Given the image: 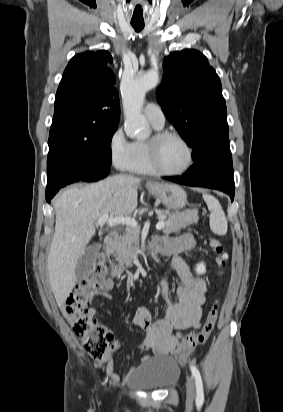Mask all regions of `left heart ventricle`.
Returning <instances> with one entry per match:
<instances>
[{
	"mask_svg": "<svg viewBox=\"0 0 283 412\" xmlns=\"http://www.w3.org/2000/svg\"><path fill=\"white\" fill-rule=\"evenodd\" d=\"M188 150L185 145L176 138L165 139L159 150V164L166 171H179L188 162Z\"/></svg>",
	"mask_w": 283,
	"mask_h": 412,
	"instance_id": "1",
	"label": "left heart ventricle"
}]
</instances>
